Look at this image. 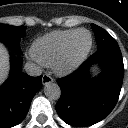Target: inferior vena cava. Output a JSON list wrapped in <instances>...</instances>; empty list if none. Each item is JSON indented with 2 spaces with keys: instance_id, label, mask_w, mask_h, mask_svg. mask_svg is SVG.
I'll use <instances>...</instances> for the list:
<instances>
[{
  "instance_id": "1",
  "label": "inferior vena cava",
  "mask_w": 128,
  "mask_h": 128,
  "mask_svg": "<svg viewBox=\"0 0 128 128\" xmlns=\"http://www.w3.org/2000/svg\"><path fill=\"white\" fill-rule=\"evenodd\" d=\"M26 73L30 76H40L42 74V69L40 66L33 62H27L24 65Z\"/></svg>"
}]
</instances>
